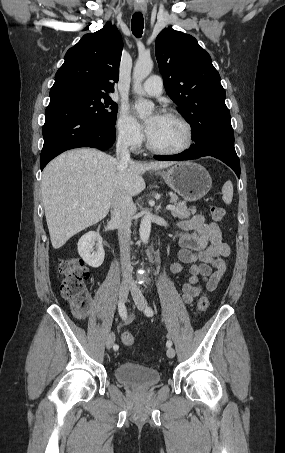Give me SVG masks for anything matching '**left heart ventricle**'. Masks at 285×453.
Listing matches in <instances>:
<instances>
[{
  "label": "left heart ventricle",
  "instance_id": "obj_1",
  "mask_svg": "<svg viewBox=\"0 0 285 453\" xmlns=\"http://www.w3.org/2000/svg\"><path fill=\"white\" fill-rule=\"evenodd\" d=\"M148 135L156 146L165 149H176L186 142L184 126L178 120L164 115H158Z\"/></svg>",
  "mask_w": 285,
  "mask_h": 453
}]
</instances>
